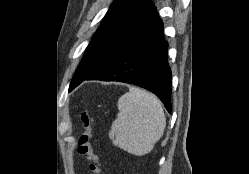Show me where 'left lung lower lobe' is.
<instances>
[{"instance_id": "obj_1", "label": "left lung lower lobe", "mask_w": 249, "mask_h": 174, "mask_svg": "<svg viewBox=\"0 0 249 174\" xmlns=\"http://www.w3.org/2000/svg\"><path fill=\"white\" fill-rule=\"evenodd\" d=\"M84 80L119 81L138 85L157 95L170 113L171 69L167 62L163 24L158 15L131 37L100 70L88 78L75 79L69 91Z\"/></svg>"}]
</instances>
